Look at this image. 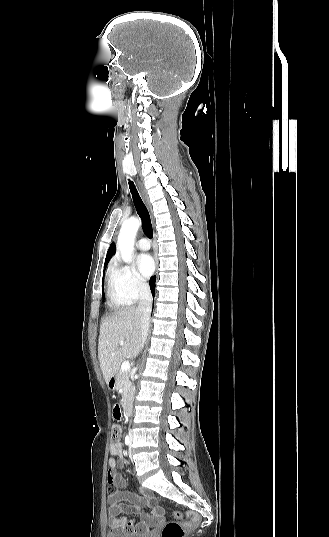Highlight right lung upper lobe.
Here are the masks:
<instances>
[{
	"label": "right lung upper lobe",
	"instance_id": "right-lung-upper-lobe-1",
	"mask_svg": "<svg viewBox=\"0 0 329 537\" xmlns=\"http://www.w3.org/2000/svg\"><path fill=\"white\" fill-rule=\"evenodd\" d=\"M114 254V247H113V244H111L108 252H107V255H106V259H105V264H104V267L107 266L109 260L111 259V257L113 256Z\"/></svg>",
	"mask_w": 329,
	"mask_h": 537
}]
</instances>
